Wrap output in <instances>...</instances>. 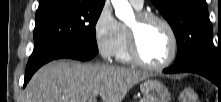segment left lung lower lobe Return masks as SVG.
I'll return each instance as SVG.
<instances>
[{"mask_svg":"<svg viewBox=\"0 0 221 102\" xmlns=\"http://www.w3.org/2000/svg\"><path fill=\"white\" fill-rule=\"evenodd\" d=\"M165 73H181L192 72L200 74L213 83L221 85V73H218L215 69L206 63L200 61H187L174 64L173 66L164 70Z\"/></svg>","mask_w":221,"mask_h":102,"instance_id":"0a47b994","label":"left lung lower lobe"}]
</instances>
